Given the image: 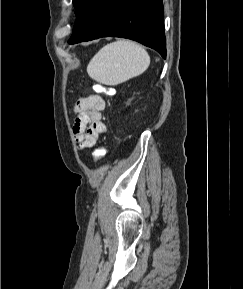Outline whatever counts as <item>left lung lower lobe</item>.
<instances>
[{"instance_id": "left-lung-lower-lobe-1", "label": "left lung lower lobe", "mask_w": 243, "mask_h": 289, "mask_svg": "<svg viewBox=\"0 0 243 289\" xmlns=\"http://www.w3.org/2000/svg\"><path fill=\"white\" fill-rule=\"evenodd\" d=\"M115 36L138 41L166 58L162 0H89L68 41Z\"/></svg>"}]
</instances>
